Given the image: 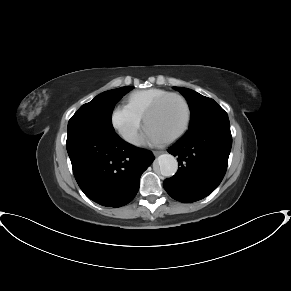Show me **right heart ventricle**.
Instances as JSON below:
<instances>
[{"label": "right heart ventricle", "mask_w": 291, "mask_h": 291, "mask_svg": "<svg viewBox=\"0 0 291 291\" xmlns=\"http://www.w3.org/2000/svg\"><path fill=\"white\" fill-rule=\"evenodd\" d=\"M167 93L169 92L159 88L137 90L129 94L127 98V105L143 117L152 103Z\"/></svg>", "instance_id": "obj_1"}]
</instances>
